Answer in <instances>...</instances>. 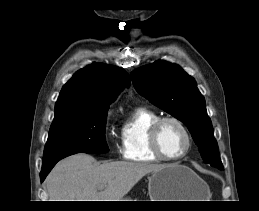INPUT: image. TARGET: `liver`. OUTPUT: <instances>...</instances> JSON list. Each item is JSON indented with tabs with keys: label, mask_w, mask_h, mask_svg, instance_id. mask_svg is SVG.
<instances>
[{
	"label": "liver",
	"mask_w": 259,
	"mask_h": 211,
	"mask_svg": "<svg viewBox=\"0 0 259 211\" xmlns=\"http://www.w3.org/2000/svg\"><path fill=\"white\" fill-rule=\"evenodd\" d=\"M164 165L144 162H103L89 154L69 156L56 164L46 178L50 201H122L146 174Z\"/></svg>",
	"instance_id": "6515ba94"
}]
</instances>
